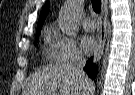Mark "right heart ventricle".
Returning a JSON list of instances; mask_svg holds the SVG:
<instances>
[{
    "label": "right heart ventricle",
    "instance_id": "obj_1",
    "mask_svg": "<svg viewBox=\"0 0 135 95\" xmlns=\"http://www.w3.org/2000/svg\"><path fill=\"white\" fill-rule=\"evenodd\" d=\"M52 31H53V29L51 27H46L44 29V37L46 38V40L48 42H50ZM48 53H49V51H48Z\"/></svg>",
    "mask_w": 135,
    "mask_h": 95
}]
</instances>
